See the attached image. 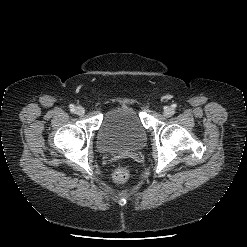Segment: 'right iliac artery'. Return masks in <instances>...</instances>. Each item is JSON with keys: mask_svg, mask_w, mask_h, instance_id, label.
I'll return each instance as SVG.
<instances>
[{"mask_svg": "<svg viewBox=\"0 0 247 247\" xmlns=\"http://www.w3.org/2000/svg\"><path fill=\"white\" fill-rule=\"evenodd\" d=\"M70 110L73 112L75 110L74 105H70Z\"/></svg>", "mask_w": 247, "mask_h": 247, "instance_id": "right-iliac-artery-1", "label": "right iliac artery"}]
</instances>
